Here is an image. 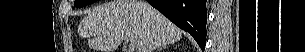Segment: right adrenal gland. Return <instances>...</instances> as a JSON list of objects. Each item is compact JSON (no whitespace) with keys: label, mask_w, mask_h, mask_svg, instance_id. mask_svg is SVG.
<instances>
[{"label":"right adrenal gland","mask_w":305,"mask_h":52,"mask_svg":"<svg viewBox=\"0 0 305 52\" xmlns=\"http://www.w3.org/2000/svg\"><path fill=\"white\" fill-rule=\"evenodd\" d=\"M163 48H164V49H165V48H168V46H167V45H164V46L158 47L157 50H160V49H163Z\"/></svg>","instance_id":"right-adrenal-gland-1"}]
</instances>
